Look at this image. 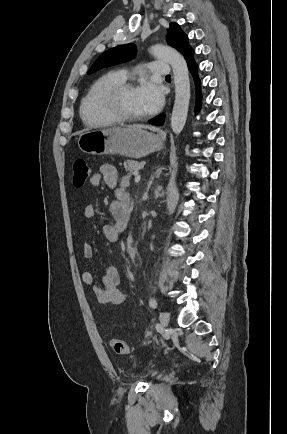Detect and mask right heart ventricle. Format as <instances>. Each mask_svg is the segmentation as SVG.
I'll list each match as a JSON object with an SVG mask.
<instances>
[{
    "label": "right heart ventricle",
    "instance_id": "right-heart-ventricle-1",
    "mask_svg": "<svg viewBox=\"0 0 287 434\" xmlns=\"http://www.w3.org/2000/svg\"><path fill=\"white\" fill-rule=\"evenodd\" d=\"M126 80L121 71H109L100 76L86 91L81 99L79 113L82 121L93 127L110 126L117 123L103 108L101 97L104 91Z\"/></svg>",
    "mask_w": 287,
    "mask_h": 434
}]
</instances>
